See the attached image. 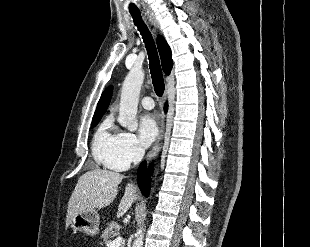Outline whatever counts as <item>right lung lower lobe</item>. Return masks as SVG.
<instances>
[{
    "label": "right lung lower lobe",
    "mask_w": 310,
    "mask_h": 247,
    "mask_svg": "<svg viewBox=\"0 0 310 247\" xmlns=\"http://www.w3.org/2000/svg\"><path fill=\"white\" fill-rule=\"evenodd\" d=\"M167 109V105L165 107V110ZM152 174V167L149 166L147 170V165L146 162H143L138 169L137 172V181H138V186L140 190L142 191L143 195L148 197L150 187H151V177L150 175Z\"/></svg>",
    "instance_id": "obj_1"
}]
</instances>
